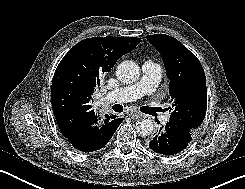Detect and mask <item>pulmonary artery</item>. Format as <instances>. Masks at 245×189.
<instances>
[{"label": "pulmonary artery", "instance_id": "obj_1", "mask_svg": "<svg viewBox=\"0 0 245 189\" xmlns=\"http://www.w3.org/2000/svg\"><path fill=\"white\" fill-rule=\"evenodd\" d=\"M141 70L142 75L137 83L108 92L107 99L112 102L126 103L153 93L160 82L162 66L152 61H146L142 64ZM167 120L168 115L165 116V121Z\"/></svg>", "mask_w": 245, "mask_h": 189}]
</instances>
